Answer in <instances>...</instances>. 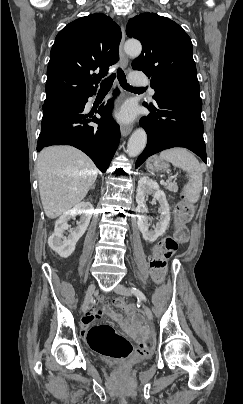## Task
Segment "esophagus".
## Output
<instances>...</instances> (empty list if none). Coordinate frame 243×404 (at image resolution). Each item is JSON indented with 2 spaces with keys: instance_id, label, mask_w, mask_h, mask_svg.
<instances>
[{
  "instance_id": "esophagus-1",
  "label": "esophagus",
  "mask_w": 243,
  "mask_h": 404,
  "mask_svg": "<svg viewBox=\"0 0 243 404\" xmlns=\"http://www.w3.org/2000/svg\"><path fill=\"white\" fill-rule=\"evenodd\" d=\"M121 33H122V38H121V43L119 46L120 64L122 67L126 68L128 66V58L126 57V55L124 53L125 29H124L123 25H121ZM120 130H121V135L123 137H126L127 135H129L132 132V127L122 125Z\"/></svg>"
}]
</instances>
